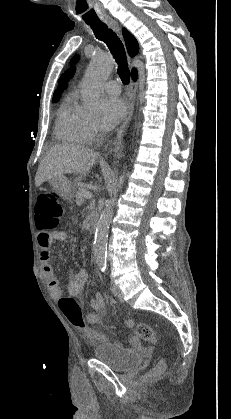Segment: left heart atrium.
Wrapping results in <instances>:
<instances>
[{
    "label": "left heart atrium",
    "instance_id": "obj_1",
    "mask_svg": "<svg viewBox=\"0 0 231 419\" xmlns=\"http://www.w3.org/2000/svg\"><path fill=\"white\" fill-rule=\"evenodd\" d=\"M124 115V102L117 97H109L103 103L101 125L104 129H112L120 122Z\"/></svg>",
    "mask_w": 231,
    "mask_h": 419
}]
</instances>
